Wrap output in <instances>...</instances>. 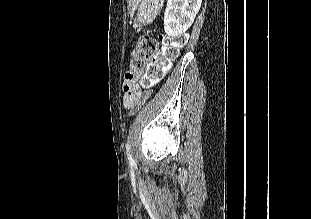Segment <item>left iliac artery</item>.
<instances>
[{"mask_svg":"<svg viewBox=\"0 0 311 219\" xmlns=\"http://www.w3.org/2000/svg\"><path fill=\"white\" fill-rule=\"evenodd\" d=\"M126 154H127V158L129 160V163L133 164L134 163V159H133L132 154H131V145H130V141L129 140L126 143Z\"/></svg>","mask_w":311,"mask_h":219,"instance_id":"obj_1","label":"left iliac artery"}]
</instances>
